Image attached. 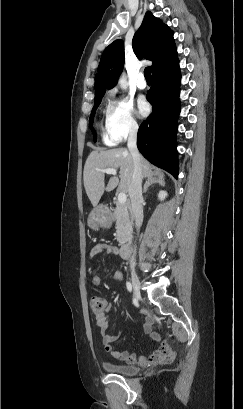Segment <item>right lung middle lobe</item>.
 <instances>
[{
    "instance_id": "obj_1",
    "label": "right lung middle lobe",
    "mask_w": 243,
    "mask_h": 409,
    "mask_svg": "<svg viewBox=\"0 0 243 409\" xmlns=\"http://www.w3.org/2000/svg\"><path fill=\"white\" fill-rule=\"evenodd\" d=\"M101 100H102V98L95 99V101H94V107H93V109H92L91 116H90V119H89V127H90V129H91V131H92V133H93V135H94V141H96L97 135H96V132H95V130H94V128H93V117H94V115H95V111H96V109L98 108V106H99Z\"/></svg>"
}]
</instances>
